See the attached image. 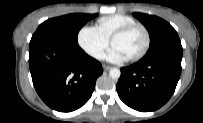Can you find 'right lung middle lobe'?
<instances>
[{
    "label": "right lung middle lobe",
    "mask_w": 203,
    "mask_h": 123,
    "mask_svg": "<svg viewBox=\"0 0 203 123\" xmlns=\"http://www.w3.org/2000/svg\"><path fill=\"white\" fill-rule=\"evenodd\" d=\"M96 14H69L43 22L31 38L34 41H48L66 46H78L77 35L82 26Z\"/></svg>",
    "instance_id": "right-lung-middle-lobe-1"
}]
</instances>
